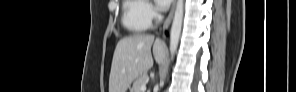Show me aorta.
Returning a JSON list of instances; mask_svg holds the SVG:
<instances>
[{"instance_id": "762f6f07", "label": "aorta", "mask_w": 296, "mask_h": 92, "mask_svg": "<svg viewBox=\"0 0 296 92\" xmlns=\"http://www.w3.org/2000/svg\"><path fill=\"white\" fill-rule=\"evenodd\" d=\"M184 15V0H177L174 18L170 30V53L171 59L177 50L179 38L181 35L182 23Z\"/></svg>"}]
</instances>
